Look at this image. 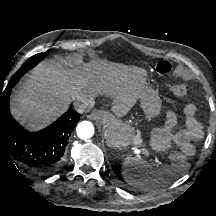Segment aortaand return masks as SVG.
I'll return each mask as SVG.
<instances>
[{
	"label": "aorta",
	"mask_w": 216,
	"mask_h": 216,
	"mask_svg": "<svg viewBox=\"0 0 216 216\" xmlns=\"http://www.w3.org/2000/svg\"><path fill=\"white\" fill-rule=\"evenodd\" d=\"M77 135L80 139L86 140L94 134V126L89 121H82L76 128Z\"/></svg>",
	"instance_id": "obj_1"
}]
</instances>
